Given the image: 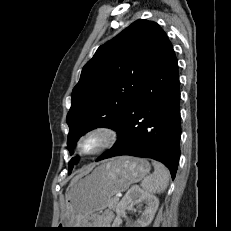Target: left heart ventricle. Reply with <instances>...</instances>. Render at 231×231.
Masks as SVG:
<instances>
[{
  "mask_svg": "<svg viewBox=\"0 0 231 231\" xmlns=\"http://www.w3.org/2000/svg\"><path fill=\"white\" fill-rule=\"evenodd\" d=\"M103 143L100 136H90L85 138L81 143V149L84 152H91L96 150Z\"/></svg>",
  "mask_w": 231,
  "mask_h": 231,
  "instance_id": "1",
  "label": "left heart ventricle"
}]
</instances>
